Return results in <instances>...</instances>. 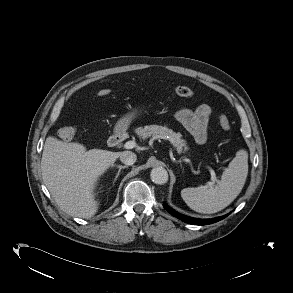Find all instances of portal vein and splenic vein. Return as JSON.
I'll use <instances>...</instances> for the list:
<instances>
[{"label":"portal vein and splenic vein","instance_id":"obj_1","mask_svg":"<svg viewBox=\"0 0 293 293\" xmlns=\"http://www.w3.org/2000/svg\"><path fill=\"white\" fill-rule=\"evenodd\" d=\"M137 143L135 141H128L124 144V148L125 149H132L134 147H136ZM211 173V181L209 182V185H213L215 182H218L217 178H216V174L214 172V170H210Z\"/></svg>","mask_w":293,"mask_h":293}]
</instances>
